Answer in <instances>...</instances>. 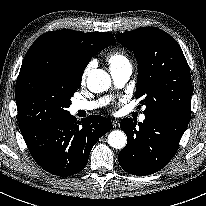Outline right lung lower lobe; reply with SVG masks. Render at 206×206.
Returning a JSON list of instances; mask_svg holds the SVG:
<instances>
[{"label":"right lung lower lobe","mask_w":206,"mask_h":206,"mask_svg":"<svg viewBox=\"0 0 206 206\" xmlns=\"http://www.w3.org/2000/svg\"><path fill=\"white\" fill-rule=\"evenodd\" d=\"M111 128L108 118L90 115L77 121L69 113L21 133L33 159L44 170L69 176L85 168L92 147Z\"/></svg>","instance_id":"1"}]
</instances>
